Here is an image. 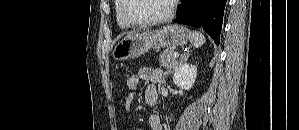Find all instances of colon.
<instances>
[{
  "label": "colon",
  "instance_id": "1",
  "mask_svg": "<svg viewBox=\"0 0 299 130\" xmlns=\"http://www.w3.org/2000/svg\"><path fill=\"white\" fill-rule=\"evenodd\" d=\"M140 83L138 73H131L126 79V87L129 93L136 92Z\"/></svg>",
  "mask_w": 299,
  "mask_h": 130
}]
</instances>
